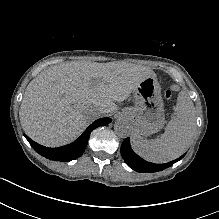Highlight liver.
Here are the masks:
<instances>
[{
	"instance_id": "1",
	"label": "liver",
	"mask_w": 219,
	"mask_h": 219,
	"mask_svg": "<svg viewBox=\"0 0 219 219\" xmlns=\"http://www.w3.org/2000/svg\"><path fill=\"white\" fill-rule=\"evenodd\" d=\"M150 71L134 64L67 62L37 75L26 87L19 117L27 136L46 147L78 138L87 124L117 110Z\"/></svg>"
}]
</instances>
